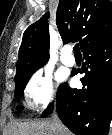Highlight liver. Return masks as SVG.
Instances as JSON below:
<instances>
[{
  "label": "liver",
  "mask_w": 112,
  "mask_h": 135,
  "mask_svg": "<svg viewBox=\"0 0 112 135\" xmlns=\"http://www.w3.org/2000/svg\"><path fill=\"white\" fill-rule=\"evenodd\" d=\"M7 135H71V132L65 127L57 131L51 120L14 123L9 125Z\"/></svg>",
  "instance_id": "liver-1"
}]
</instances>
